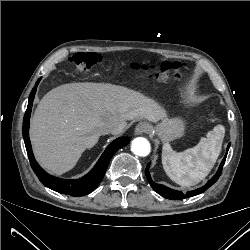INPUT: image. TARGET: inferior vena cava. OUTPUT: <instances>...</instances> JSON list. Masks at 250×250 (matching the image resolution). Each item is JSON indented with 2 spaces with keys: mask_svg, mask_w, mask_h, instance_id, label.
Here are the masks:
<instances>
[{
  "mask_svg": "<svg viewBox=\"0 0 250 250\" xmlns=\"http://www.w3.org/2000/svg\"><path fill=\"white\" fill-rule=\"evenodd\" d=\"M123 128H124L123 123L118 121H109L104 125L103 132L116 134L121 132Z\"/></svg>",
  "mask_w": 250,
  "mask_h": 250,
  "instance_id": "obj_1",
  "label": "inferior vena cava"
}]
</instances>
